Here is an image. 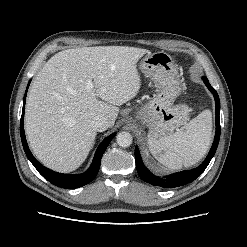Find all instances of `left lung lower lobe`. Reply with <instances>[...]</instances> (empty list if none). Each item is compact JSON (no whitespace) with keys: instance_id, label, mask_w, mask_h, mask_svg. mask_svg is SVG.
Returning a JSON list of instances; mask_svg holds the SVG:
<instances>
[{"instance_id":"left-lung-lower-lobe-1","label":"left lung lower lobe","mask_w":247,"mask_h":247,"mask_svg":"<svg viewBox=\"0 0 247 247\" xmlns=\"http://www.w3.org/2000/svg\"><path fill=\"white\" fill-rule=\"evenodd\" d=\"M205 85L208 87V89L211 91L215 98V111H216V133L214 142L212 144V147L204 160V162L198 166L195 169L187 170V171H181L175 174H171L168 176H165L164 178H160L158 176L153 175L143 164L138 147H135V160H136V168L138 171V174L140 177L145 181L148 182L154 186H160L163 188H174L183 186L185 184H188L192 181H194L208 166L211 159L213 158L218 143L220 139V101L218 94L216 90L210 85L208 79L206 77H202Z\"/></svg>"}]
</instances>
